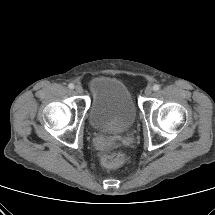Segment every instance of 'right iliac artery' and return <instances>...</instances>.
Instances as JSON below:
<instances>
[{"instance_id":"right-iliac-artery-1","label":"right iliac artery","mask_w":215,"mask_h":215,"mask_svg":"<svg viewBox=\"0 0 215 215\" xmlns=\"http://www.w3.org/2000/svg\"><path fill=\"white\" fill-rule=\"evenodd\" d=\"M68 87H69L70 89H74V84L70 83V84L68 85Z\"/></svg>"}]
</instances>
